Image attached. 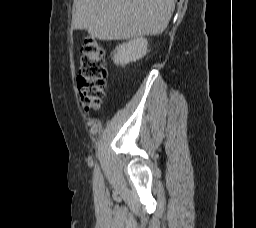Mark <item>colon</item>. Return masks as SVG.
<instances>
[{
    "label": "colon",
    "instance_id": "obj_1",
    "mask_svg": "<svg viewBox=\"0 0 256 228\" xmlns=\"http://www.w3.org/2000/svg\"><path fill=\"white\" fill-rule=\"evenodd\" d=\"M107 70L103 49L99 43L86 39L81 48L77 87L80 101L86 111L98 109L106 86Z\"/></svg>",
    "mask_w": 256,
    "mask_h": 228
}]
</instances>
